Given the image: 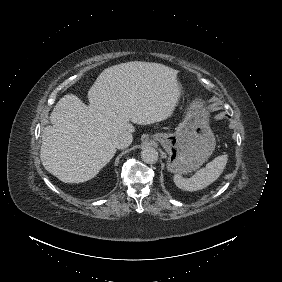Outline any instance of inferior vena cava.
<instances>
[{"label":"inferior vena cava","mask_w":282,"mask_h":282,"mask_svg":"<svg viewBox=\"0 0 282 282\" xmlns=\"http://www.w3.org/2000/svg\"><path fill=\"white\" fill-rule=\"evenodd\" d=\"M132 140H133L132 134L126 131L125 133L116 135L112 139V143L117 149H124L127 148L132 143Z\"/></svg>","instance_id":"obj_1"}]
</instances>
